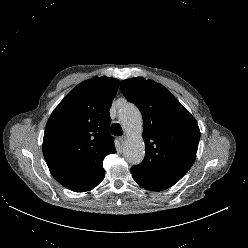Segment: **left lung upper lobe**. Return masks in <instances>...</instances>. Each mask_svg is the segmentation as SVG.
Returning a JSON list of instances; mask_svg holds the SVG:
<instances>
[{
  "label": "left lung upper lobe",
  "mask_w": 248,
  "mask_h": 248,
  "mask_svg": "<svg viewBox=\"0 0 248 248\" xmlns=\"http://www.w3.org/2000/svg\"><path fill=\"white\" fill-rule=\"evenodd\" d=\"M123 95L143 117L144 160L131 168L134 180L150 191L165 190L191 168L200 130L194 117L161 84L143 77L121 82Z\"/></svg>",
  "instance_id": "5c2ea615"
}]
</instances>
